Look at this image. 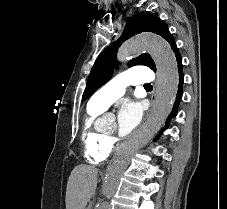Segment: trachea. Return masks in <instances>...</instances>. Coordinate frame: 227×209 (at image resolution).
<instances>
[{
	"label": "trachea",
	"mask_w": 227,
	"mask_h": 209,
	"mask_svg": "<svg viewBox=\"0 0 227 209\" xmlns=\"http://www.w3.org/2000/svg\"><path fill=\"white\" fill-rule=\"evenodd\" d=\"M145 87H152L151 84H144Z\"/></svg>",
	"instance_id": "1"
}]
</instances>
